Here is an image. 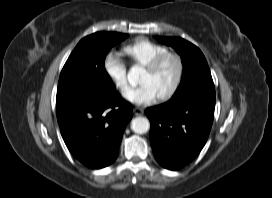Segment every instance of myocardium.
I'll list each match as a JSON object with an SVG mask.
<instances>
[{"label":"myocardium","instance_id":"f54148a6","mask_svg":"<svg viewBox=\"0 0 272 198\" xmlns=\"http://www.w3.org/2000/svg\"><path fill=\"white\" fill-rule=\"evenodd\" d=\"M168 59H174L175 60V62L177 64V73H176L175 80H174L173 84L171 85V87L165 93L158 96V99L161 100V101H165V100L170 99L178 91V89H179V87H180V85L182 83L183 75H184V63H183V60H182V58H181V56L179 54H177L175 52L167 51V52H164V53L158 55L157 57H155L150 63H148L145 66L147 71L155 72Z\"/></svg>","mask_w":272,"mask_h":198}]
</instances>
